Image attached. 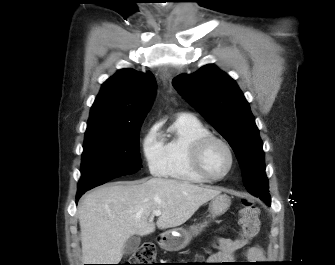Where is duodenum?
<instances>
[{"label": "duodenum", "mask_w": 335, "mask_h": 265, "mask_svg": "<svg viewBox=\"0 0 335 265\" xmlns=\"http://www.w3.org/2000/svg\"><path fill=\"white\" fill-rule=\"evenodd\" d=\"M164 240H165V237H164L163 235H160V236L158 237V242H159V243H163Z\"/></svg>", "instance_id": "1"}]
</instances>
